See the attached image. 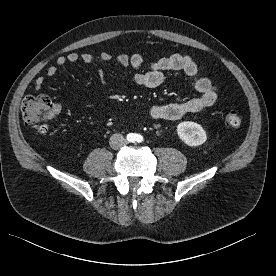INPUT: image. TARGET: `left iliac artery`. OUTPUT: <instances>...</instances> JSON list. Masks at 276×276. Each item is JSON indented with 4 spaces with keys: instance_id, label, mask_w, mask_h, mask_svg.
Instances as JSON below:
<instances>
[{
    "instance_id": "obj_1",
    "label": "left iliac artery",
    "mask_w": 276,
    "mask_h": 276,
    "mask_svg": "<svg viewBox=\"0 0 276 276\" xmlns=\"http://www.w3.org/2000/svg\"><path fill=\"white\" fill-rule=\"evenodd\" d=\"M135 141H136L137 143H141V142L143 141V136L140 135V134H136V135H135Z\"/></svg>"
}]
</instances>
